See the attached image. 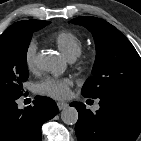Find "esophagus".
<instances>
[{
    "instance_id": "obj_1",
    "label": "esophagus",
    "mask_w": 141,
    "mask_h": 141,
    "mask_svg": "<svg viewBox=\"0 0 141 141\" xmlns=\"http://www.w3.org/2000/svg\"><path fill=\"white\" fill-rule=\"evenodd\" d=\"M57 106L59 110H63L68 107V104L66 102H58Z\"/></svg>"
}]
</instances>
